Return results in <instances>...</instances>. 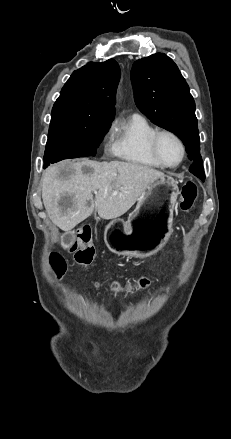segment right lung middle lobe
I'll return each mask as SVG.
<instances>
[{"label":"right lung middle lobe","instance_id":"1","mask_svg":"<svg viewBox=\"0 0 231 439\" xmlns=\"http://www.w3.org/2000/svg\"><path fill=\"white\" fill-rule=\"evenodd\" d=\"M112 120L67 115L51 118L44 168L63 159L95 156Z\"/></svg>","mask_w":231,"mask_h":439}]
</instances>
